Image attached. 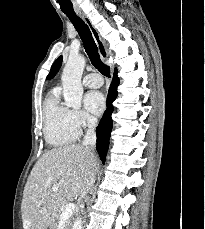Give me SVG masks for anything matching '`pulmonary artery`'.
<instances>
[{
	"label": "pulmonary artery",
	"mask_w": 205,
	"mask_h": 229,
	"mask_svg": "<svg viewBox=\"0 0 205 229\" xmlns=\"http://www.w3.org/2000/svg\"><path fill=\"white\" fill-rule=\"evenodd\" d=\"M83 84L89 88H99L103 84V79L97 73H89L83 78Z\"/></svg>",
	"instance_id": "e3ab8cb5"
}]
</instances>
